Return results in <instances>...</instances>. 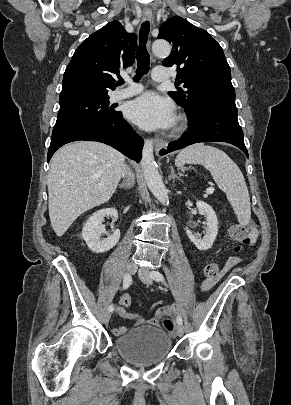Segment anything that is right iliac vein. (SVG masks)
Segmentation results:
<instances>
[{"instance_id":"63e3f726","label":"right iliac vein","mask_w":291,"mask_h":405,"mask_svg":"<svg viewBox=\"0 0 291 405\" xmlns=\"http://www.w3.org/2000/svg\"><path fill=\"white\" fill-rule=\"evenodd\" d=\"M137 270V265L134 262L128 263L126 267V271L128 274H134ZM111 317V312L110 311H105L103 314V322L108 323Z\"/></svg>"}]
</instances>
